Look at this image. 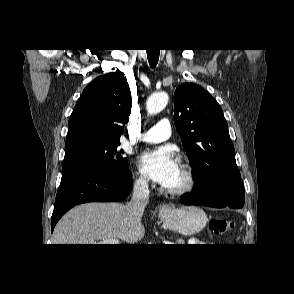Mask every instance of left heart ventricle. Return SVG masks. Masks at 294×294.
I'll return each mask as SVG.
<instances>
[{"label":"left heart ventricle","mask_w":294,"mask_h":294,"mask_svg":"<svg viewBox=\"0 0 294 294\" xmlns=\"http://www.w3.org/2000/svg\"><path fill=\"white\" fill-rule=\"evenodd\" d=\"M184 182L183 174L181 172V169L178 167L174 176L170 180V182L165 186L166 188H178L180 187Z\"/></svg>","instance_id":"obj_1"}]
</instances>
